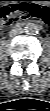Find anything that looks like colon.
Here are the masks:
<instances>
[{
	"label": "colon",
	"mask_w": 50,
	"mask_h": 111,
	"mask_svg": "<svg viewBox=\"0 0 50 111\" xmlns=\"http://www.w3.org/2000/svg\"><path fill=\"white\" fill-rule=\"evenodd\" d=\"M0 18L4 25L20 18H35L48 22L50 21V9L48 6L25 0L4 7L0 12Z\"/></svg>",
	"instance_id": "5ec220e1"
}]
</instances>
